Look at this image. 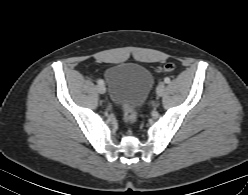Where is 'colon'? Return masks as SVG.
I'll use <instances>...</instances> for the list:
<instances>
[{"label":"colon","instance_id":"1","mask_svg":"<svg viewBox=\"0 0 248 195\" xmlns=\"http://www.w3.org/2000/svg\"><path fill=\"white\" fill-rule=\"evenodd\" d=\"M174 70L173 63H167L161 68V71L171 72ZM124 121L127 125L133 126L137 121L136 109L133 106H123Z\"/></svg>","mask_w":248,"mask_h":195}]
</instances>
